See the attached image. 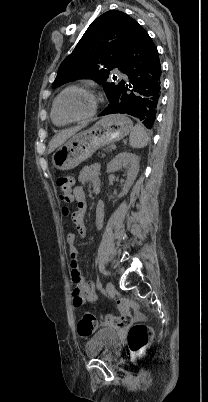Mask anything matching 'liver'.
Instances as JSON below:
<instances>
[{"mask_svg":"<svg viewBox=\"0 0 208 402\" xmlns=\"http://www.w3.org/2000/svg\"><path fill=\"white\" fill-rule=\"evenodd\" d=\"M85 126L86 124H83V126H76V128H69V130H62V132L56 134V136L52 138L51 142H49L48 154H51V152H54L56 148H59V146L65 144L68 138H72V136H75L76 132H79V130H82V128H85Z\"/></svg>","mask_w":208,"mask_h":402,"instance_id":"liver-1","label":"liver"}]
</instances>
